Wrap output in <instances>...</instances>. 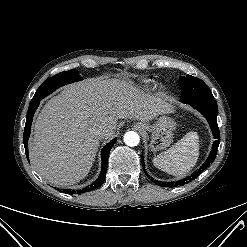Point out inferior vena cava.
<instances>
[{"instance_id": "1", "label": "inferior vena cava", "mask_w": 247, "mask_h": 247, "mask_svg": "<svg viewBox=\"0 0 247 247\" xmlns=\"http://www.w3.org/2000/svg\"><path fill=\"white\" fill-rule=\"evenodd\" d=\"M106 132H107V129L105 127H102V126L97 127L94 130L95 135L98 137H103L106 134Z\"/></svg>"}]
</instances>
